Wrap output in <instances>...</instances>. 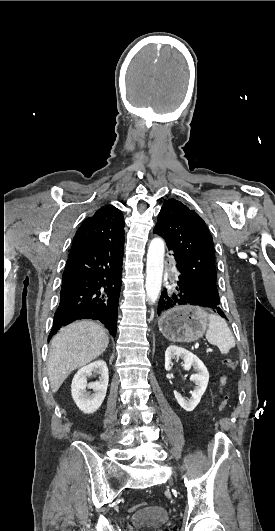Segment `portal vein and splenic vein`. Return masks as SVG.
<instances>
[{
	"label": "portal vein and splenic vein",
	"instance_id": "portal-vein-and-splenic-vein-1",
	"mask_svg": "<svg viewBox=\"0 0 275 531\" xmlns=\"http://www.w3.org/2000/svg\"><path fill=\"white\" fill-rule=\"evenodd\" d=\"M199 343H196L195 349H198ZM206 350L210 351V353H213V348L206 347Z\"/></svg>",
	"mask_w": 275,
	"mask_h": 531
}]
</instances>
